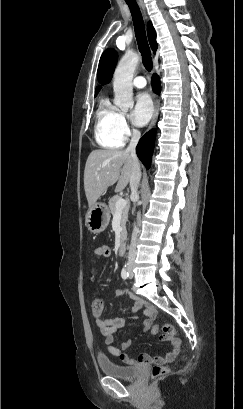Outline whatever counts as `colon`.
I'll return each instance as SVG.
<instances>
[{
  "label": "colon",
  "mask_w": 243,
  "mask_h": 409,
  "mask_svg": "<svg viewBox=\"0 0 243 409\" xmlns=\"http://www.w3.org/2000/svg\"><path fill=\"white\" fill-rule=\"evenodd\" d=\"M102 306H103V304H102V301L100 299H94L92 301V304H91V309H92L93 314H95V315L99 314L101 312V310H102ZM159 331H163L164 333L170 334V335L175 334V328L172 325H169V324L154 325L152 327V329H151V332L153 334H158ZM167 371H168V369L166 367L155 365L152 368L151 376L153 378H158V377H161V376L165 375L167 373Z\"/></svg>",
  "instance_id": "1"
}]
</instances>
